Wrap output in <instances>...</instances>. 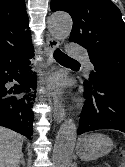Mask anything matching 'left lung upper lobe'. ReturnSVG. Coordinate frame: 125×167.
Returning a JSON list of instances; mask_svg holds the SVG:
<instances>
[{
	"instance_id": "1",
	"label": "left lung upper lobe",
	"mask_w": 125,
	"mask_h": 167,
	"mask_svg": "<svg viewBox=\"0 0 125 167\" xmlns=\"http://www.w3.org/2000/svg\"><path fill=\"white\" fill-rule=\"evenodd\" d=\"M51 10L71 15L69 40L88 50L95 70L84 86L104 75L125 77V23L111 0H52Z\"/></svg>"
}]
</instances>
